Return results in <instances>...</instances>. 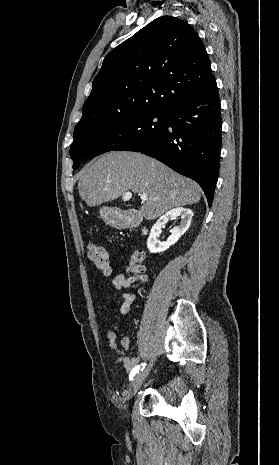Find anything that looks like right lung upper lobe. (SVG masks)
Listing matches in <instances>:
<instances>
[{"label": "right lung upper lobe", "instance_id": "right-lung-upper-lobe-1", "mask_svg": "<svg viewBox=\"0 0 279 465\" xmlns=\"http://www.w3.org/2000/svg\"><path fill=\"white\" fill-rule=\"evenodd\" d=\"M213 80L195 30L178 18L159 17L107 54L76 127L167 110L202 93Z\"/></svg>", "mask_w": 279, "mask_h": 465}]
</instances>
